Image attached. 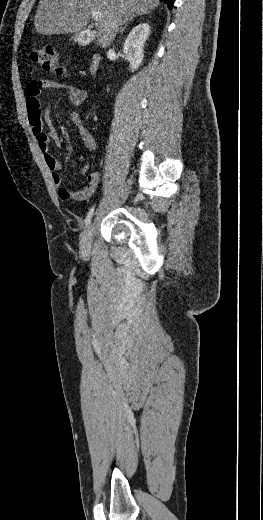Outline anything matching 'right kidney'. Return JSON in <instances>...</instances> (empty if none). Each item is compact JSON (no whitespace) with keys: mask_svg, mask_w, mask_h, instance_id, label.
Returning a JSON list of instances; mask_svg holds the SVG:
<instances>
[{"mask_svg":"<svg viewBox=\"0 0 263 520\" xmlns=\"http://www.w3.org/2000/svg\"><path fill=\"white\" fill-rule=\"evenodd\" d=\"M150 34L148 23H140L135 26L128 34L123 52L130 63V70L134 72L142 64L144 57V44Z\"/></svg>","mask_w":263,"mask_h":520,"instance_id":"obj_1","label":"right kidney"}]
</instances>
